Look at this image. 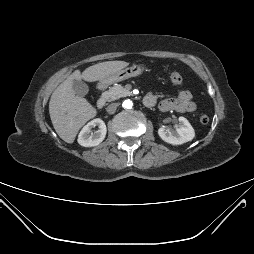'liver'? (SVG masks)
Here are the masks:
<instances>
[{
	"instance_id": "liver-1",
	"label": "liver",
	"mask_w": 254,
	"mask_h": 254,
	"mask_svg": "<svg viewBox=\"0 0 254 254\" xmlns=\"http://www.w3.org/2000/svg\"><path fill=\"white\" fill-rule=\"evenodd\" d=\"M128 65L125 61H107L90 66L82 73L76 70L56 88L49 102V113L53 127L62 140L73 143L80 128L97 113L85 98L75 95L73 81H100Z\"/></svg>"
}]
</instances>
